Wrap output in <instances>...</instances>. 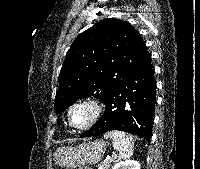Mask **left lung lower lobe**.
<instances>
[{
    "label": "left lung lower lobe",
    "mask_w": 200,
    "mask_h": 169,
    "mask_svg": "<svg viewBox=\"0 0 200 169\" xmlns=\"http://www.w3.org/2000/svg\"><path fill=\"white\" fill-rule=\"evenodd\" d=\"M156 82L151 55L147 52L125 78L104 99L103 116L80 137H90L110 130L126 131L150 141Z\"/></svg>",
    "instance_id": "obj_1"
}]
</instances>
